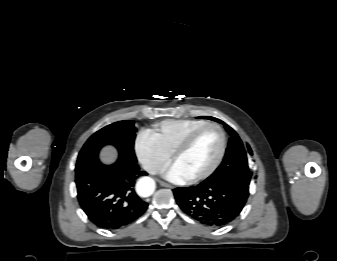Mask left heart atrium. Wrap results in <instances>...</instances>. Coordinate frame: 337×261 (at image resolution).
Wrapping results in <instances>:
<instances>
[{"label": "left heart atrium", "instance_id": "1", "mask_svg": "<svg viewBox=\"0 0 337 261\" xmlns=\"http://www.w3.org/2000/svg\"><path fill=\"white\" fill-rule=\"evenodd\" d=\"M163 176L174 183H185L190 180V176L184 172L175 162L168 165L163 170Z\"/></svg>", "mask_w": 337, "mask_h": 261}]
</instances>
